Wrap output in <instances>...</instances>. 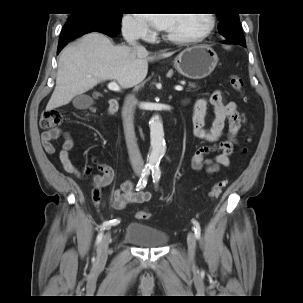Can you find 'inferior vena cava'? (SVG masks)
<instances>
[{
	"label": "inferior vena cava",
	"mask_w": 303,
	"mask_h": 303,
	"mask_svg": "<svg viewBox=\"0 0 303 303\" xmlns=\"http://www.w3.org/2000/svg\"><path fill=\"white\" fill-rule=\"evenodd\" d=\"M122 34L124 39L132 45L136 52H143L145 48L136 42V26L130 23H126L122 27ZM136 99L132 96H127L122 108V118L126 145L132 168L136 174L142 172L144 162L138 148L137 139L134 132V112L136 106Z\"/></svg>",
	"instance_id": "602c4592"
}]
</instances>
